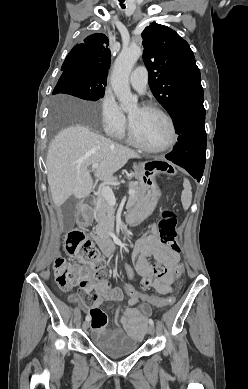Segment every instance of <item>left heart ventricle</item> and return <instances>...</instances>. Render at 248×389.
Segmentation results:
<instances>
[{
	"label": "left heart ventricle",
	"instance_id": "b2bd125f",
	"mask_svg": "<svg viewBox=\"0 0 248 389\" xmlns=\"http://www.w3.org/2000/svg\"><path fill=\"white\" fill-rule=\"evenodd\" d=\"M128 115L136 136L145 145L159 147L168 141L169 126L158 113L136 106L129 111Z\"/></svg>",
	"mask_w": 248,
	"mask_h": 389
}]
</instances>
